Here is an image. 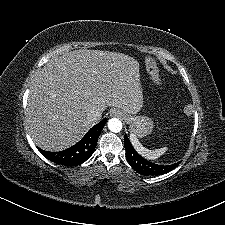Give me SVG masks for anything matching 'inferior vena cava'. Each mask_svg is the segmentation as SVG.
<instances>
[{
    "mask_svg": "<svg viewBox=\"0 0 225 225\" xmlns=\"http://www.w3.org/2000/svg\"><path fill=\"white\" fill-rule=\"evenodd\" d=\"M88 115L89 116H92V117H101L102 115V110L98 107H92L89 112H88Z\"/></svg>",
    "mask_w": 225,
    "mask_h": 225,
    "instance_id": "1",
    "label": "inferior vena cava"
}]
</instances>
